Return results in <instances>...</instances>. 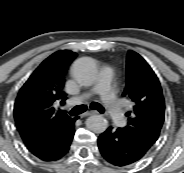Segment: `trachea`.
<instances>
[{
    "label": "trachea",
    "mask_w": 184,
    "mask_h": 173,
    "mask_svg": "<svg viewBox=\"0 0 184 173\" xmlns=\"http://www.w3.org/2000/svg\"><path fill=\"white\" fill-rule=\"evenodd\" d=\"M90 108H91V109H94V110H97V111H99V112H101V113L104 112V108H103L99 103H97V102H92V103L90 104ZM85 111H86V106H85V105H78V106H75V107L69 112V114H70L71 116H75V115L81 114V113H83V112H85Z\"/></svg>",
    "instance_id": "3493384b"
}]
</instances>
